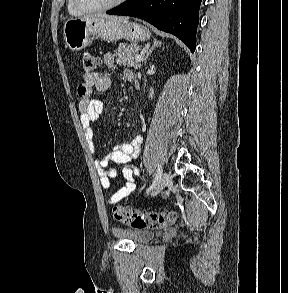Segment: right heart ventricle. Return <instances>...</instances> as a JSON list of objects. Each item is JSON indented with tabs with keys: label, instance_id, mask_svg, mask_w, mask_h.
Here are the masks:
<instances>
[{
	"label": "right heart ventricle",
	"instance_id": "e07e8e85",
	"mask_svg": "<svg viewBox=\"0 0 288 293\" xmlns=\"http://www.w3.org/2000/svg\"><path fill=\"white\" fill-rule=\"evenodd\" d=\"M67 10L69 12V14L73 15V16H80L82 15V12L78 11L75 9V7L72 4V0H68L67 1Z\"/></svg>",
	"mask_w": 288,
	"mask_h": 293
}]
</instances>
